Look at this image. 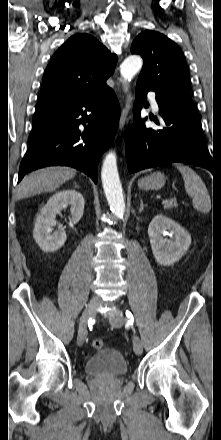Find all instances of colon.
I'll list each match as a JSON object with an SVG mask.
<instances>
[{
	"mask_svg": "<svg viewBox=\"0 0 221 440\" xmlns=\"http://www.w3.org/2000/svg\"><path fill=\"white\" fill-rule=\"evenodd\" d=\"M91 346L95 350H100L104 346V342L101 339H94L91 343Z\"/></svg>",
	"mask_w": 221,
	"mask_h": 440,
	"instance_id": "obj_1",
	"label": "colon"
}]
</instances>
